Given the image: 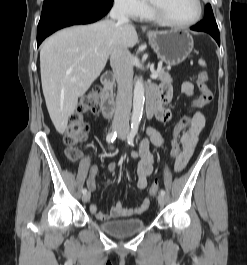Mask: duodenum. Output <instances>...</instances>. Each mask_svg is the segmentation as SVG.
Returning a JSON list of instances; mask_svg holds the SVG:
<instances>
[{"mask_svg": "<svg viewBox=\"0 0 247 265\" xmlns=\"http://www.w3.org/2000/svg\"><path fill=\"white\" fill-rule=\"evenodd\" d=\"M114 82L115 78L111 72H105L101 78L102 84V101L101 109L105 117L112 116L115 103H114ZM147 116L152 118L154 116L155 106L157 102V90L149 89L147 91Z\"/></svg>", "mask_w": 247, "mask_h": 265, "instance_id": "1", "label": "duodenum"}]
</instances>
